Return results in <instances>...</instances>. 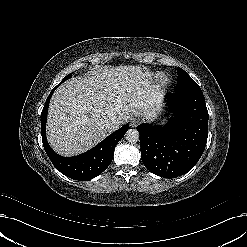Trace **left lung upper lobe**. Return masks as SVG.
Returning <instances> with one entry per match:
<instances>
[{"label": "left lung upper lobe", "instance_id": "5c2ea615", "mask_svg": "<svg viewBox=\"0 0 247 247\" xmlns=\"http://www.w3.org/2000/svg\"><path fill=\"white\" fill-rule=\"evenodd\" d=\"M178 82L175 91H184L194 87H199L198 84L181 68H177Z\"/></svg>", "mask_w": 247, "mask_h": 247}]
</instances>
